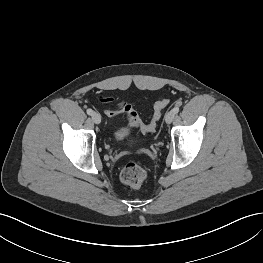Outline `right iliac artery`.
Instances as JSON below:
<instances>
[{"mask_svg": "<svg viewBox=\"0 0 263 263\" xmlns=\"http://www.w3.org/2000/svg\"><path fill=\"white\" fill-rule=\"evenodd\" d=\"M87 114L88 115H92L93 114V110L92 109H87Z\"/></svg>", "mask_w": 263, "mask_h": 263, "instance_id": "right-iliac-artery-1", "label": "right iliac artery"}]
</instances>
